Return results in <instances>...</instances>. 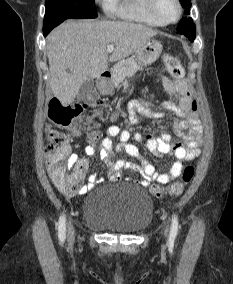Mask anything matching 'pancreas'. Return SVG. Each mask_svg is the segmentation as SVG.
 Returning <instances> with one entry per match:
<instances>
[{
    "label": "pancreas",
    "instance_id": "obj_1",
    "mask_svg": "<svg viewBox=\"0 0 233 284\" xmlns=\"http://www.w3.org/2000/svg\"><path fill=\"white\" fill-rule=\"evenodd\" d=\"M138 70H142V67L133 57L120 61L114 69L116 83L134 75Z\"/></svg>",
    "mask_w": 233,
    "mask_h": 284
}]
</instances>
